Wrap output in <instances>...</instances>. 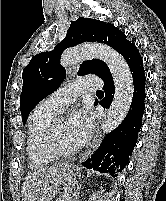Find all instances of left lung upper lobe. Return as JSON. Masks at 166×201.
Returning <instances> with one entry per match:
<instances>
[{
    "label": "left lung upper lobe",
    "mask_w": 166,
    "mask_h": 201,
    "mask_svg": "<svg viewBox=\"0 0 166 201\" xmlns=\"http://www.w3.org/2000/svg\"><path fill=\"white\" fill-rule=\"evenodd\" d=\"M96 41L113 47L121 55L132 44L127 40L126 35L114 25L80 17L71 23L65 39L57 44L53 51L37 54L30 60L22 73L20 111L23 124L39 101L53 93L63 82L66 71L59 61L62 52L68 47L83 42ZM91 73L102 79L111 74L106 63L98 59L83 62L78 75Z\"/></svg>",
    "instance_id": "obj_1"
}]
</instances>
